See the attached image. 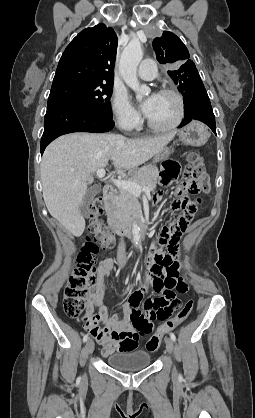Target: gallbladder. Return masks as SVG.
<instances>
[{"instance_id": "1", "label": "gallbladder", "mask_w": 255, "mask_h": 418, "mask_svg": "<svg viewBox=\"0 0 255 418\" xmlns=\"http://www.w3.org/2000/svg\"><path fill=\"white\" fill-rule=\"evenodd\" d=\"M101 191V186L100 185H94L91 186L89 189H87L85 196L83 198V201L80 205V212L83 215H87L88 214V206L89 204L92 202V200L94 199V197L100 193Z\"/></svg>"}]
</instances>
